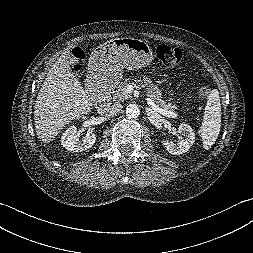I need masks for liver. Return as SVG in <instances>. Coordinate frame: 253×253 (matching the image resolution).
I'll return each instance as SVG.
<instances>
[{
    "label": "liver",
    "instance_id": "liver-1",
    "mask_svg": "<svg viewBox=\"0 0 253 253\" xmlns=\"http://www.w3.org/2000/svg\"><path fill=\"white\" fill-rule=\"evenodd\" d=\"M75 46L56 60L36 99L34 125L44 143L51 142L67 124L87 115L95 105L91 93L84 90L72 72L70 51Z\"/></svg>",
    "mask_w": 253,
    "mask_h": 253
}]
</instances>
